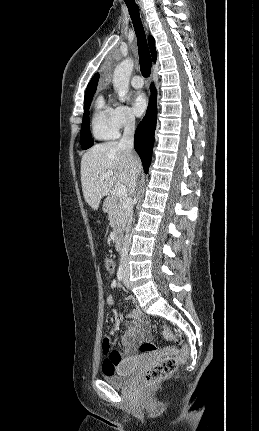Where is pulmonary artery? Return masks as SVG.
I'll list each match as a JSON object with an SVG mask.
<instances>
[{
  "mask_svg": "<svg viewBox=\"0 0 259 431\" xmlns=\"http://www.w3.org/2000/svg\"><path fill=\"white\" fill-rule=\"evenodd\" d=\"M131 85L136 89L142 88L144 85L143 78L140 75L133 76L131 79Z\"/></svg>",
  "mask_w": 259,
  "mask_h": 431,
  "instance_id": "obj_1",
  "label": "pulmonary artery"
}]
</instances>
